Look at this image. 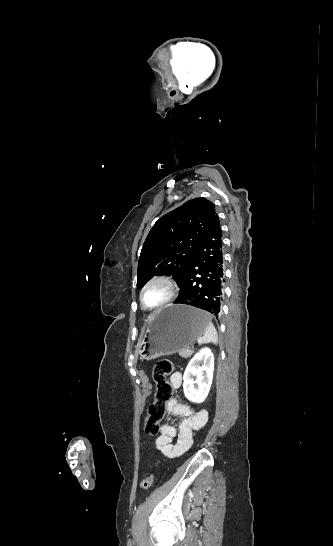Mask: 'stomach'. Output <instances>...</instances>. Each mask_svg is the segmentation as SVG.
<instances>
[{
	"label": "stomach",
	"instance_id": "1",
	"mask_svg": "<svg viewBox=\"0 0 333 546\" xmlns=\"http://www.w3.org/2000/svg\"><path fill=\"white\" fill-rule=\"evenodd\" d=\"M209 315L187 305H171L153 314L137 352L153 360L191 347L204 333Z\"/></svg>",
	"mask_w": 333,
	"mask_h": 546
}]
</instances>
